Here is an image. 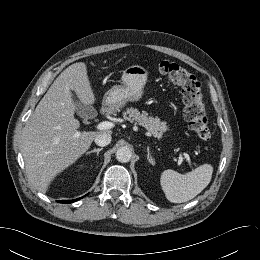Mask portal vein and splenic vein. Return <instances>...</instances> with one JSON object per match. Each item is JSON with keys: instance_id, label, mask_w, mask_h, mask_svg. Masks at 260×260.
Listing matches in <instances>:
<instances>
[{"instance_id": "18ae733b", "label": "portal vein and splenic vein", "mask_w": 260, "mask_h": 260, "mask_svg": "<svg viewBox=\"0 0 260 260\" xmlns=\"http://www.w3.org/2000/svg\"><path fill=\"white\" fill-rule=\"evenodd\" d=\"M113 127H114V123L109 122V121L100 122V123L96 126V128H97L98 130H107V129H111V128H113ZM183 155L185 156V158H187L189 164H191V161H190V159H189V156H188L187 154H183ZM182 161H183V158H182V155H180L178 163L181 164Z\"/></svg>"}]
</instances>
